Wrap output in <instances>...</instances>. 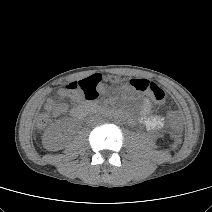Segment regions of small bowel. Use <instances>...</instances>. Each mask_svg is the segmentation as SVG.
Here are the masks:
<instances>
[{
  "instance_id": "1",
  "label": "small bowel",
  "mask_w": 212,
  "mask_h": 212,
  "mask_svg": "<svg viewBox=\"0 0 212 212\" xmlns=\"http://www.w3.org/2000/svg\"><path fill=\"white\" fill-rule=\"evenodd\" d=\"M61 96H63L62 93L53 98L47 99L44 105L45 109L55 117H58L66 113L68 110V104L59 101V98ZM70 98L74 104H77L82 100L81 96L76 94H71ZM151 113H152L151 103L148 100H145L142 106L141 123L149 130H157L162 128L164 125V118L160 115H151Z\"/></svg>"
}]
</instances>
